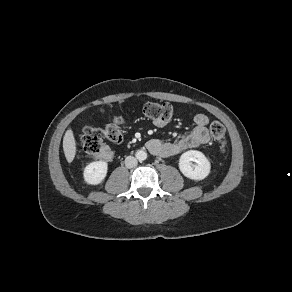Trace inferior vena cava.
Returning <instances> with one entry per match:
<instances>
[{
    "instance_id": "602c4592",
    "label": "inferior vena cava",
    "mask_w": 292,
    "mask_h": 292,
    "mask_svg": "<svg viewBox=\"0 0 292 292\" xmlns=\"http://www.w3.org/2000/svg\"><path fill=\"white\" fill-rule=\"evenodd\" d=\"M137 163H138L137 159L135 157H133V156H127L125 158V166L127 168H133V167H135L137 165Z\"/></svg>"
}]
</instances>
